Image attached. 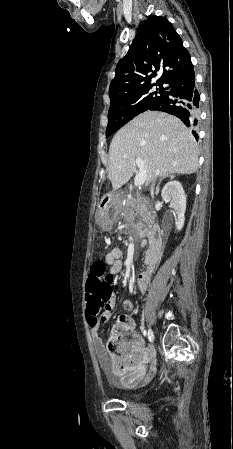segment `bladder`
I'll list each match as a JSON object with an SVG mask.
<instances>
[{"instance_id": "31cf9c89", "label": "bladder", "mask_w": 233, "mask_h": 449, "mask_svg": "<svg viewBox=\"0 0 233 449\" xmlns=\"http://www.w3.org/2000/svg\"><path fill=\"white\" fill-rule=\"evenodd\" d=\"M118 386V388L121 390V391H125V390H123L119 385H117Z\"/></svg>"}]
</instances>
